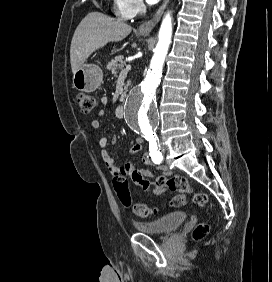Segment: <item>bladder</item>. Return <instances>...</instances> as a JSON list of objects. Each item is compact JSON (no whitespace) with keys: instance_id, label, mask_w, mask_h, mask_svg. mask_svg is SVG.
Here are the masks:
<instances>
[{"instance_id":"1","label":"bladder","mask_w":272,"mask_h":282,"mask_svg":"<svg viewBox=\"0 0 272 282\" xmlns=\"http://www.w3.org/2000/svg\"><path fill=\"white\" fill-rule=\"evenodd\" d=\"M187 219V213L184 211L172 212L157 220L133 222L134 226L141 233L146 234H161L175 230Z\"/></svg>"}]
</instances>
